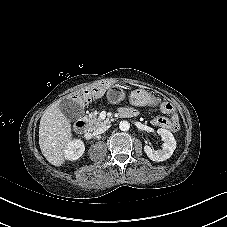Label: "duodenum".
Masks as SVG:
<instances>
[{
  "label": "duodenum",
  "instance_id": "obj_1",
  "mask_svg": "<svg viewBox=\"0 0 227 227\" xmlns=\"http://www.w3.org/2000/svg\"><path fill=\"white\" fill-rule=\"evenodd\" d=\"M120 116L124 117L125 115L120 112ZM127 117H131V115H127ZM74 129L77 133L85 135L88 130V123L85 120H78L74 125Z\"/></svg>",
  "mask_w": 227,
  "mask_h": 227
}]
</instances>
